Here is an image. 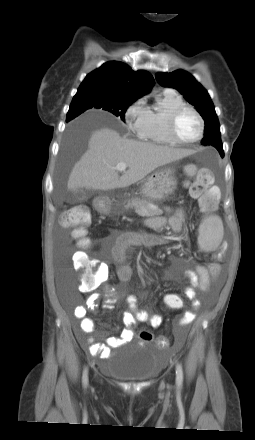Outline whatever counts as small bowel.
I'll list each match as a JSON object with an SVG mask.
<instances>
[{
    "instance_id": "c3829d8e",
    "label": "small bowel",
    "mask_w": 255,
    "mask_h": 440,
    "mask_svg": "<svg viewBox=\"0 0 255 440\" xmlns=\"http://www.w3.org/2000/svg\"><path fill=\"white\" fill-rule=\"evenodd\" d=\"M166 212L170 213L171 209L166 208ZM184 218V211L177 209L168 219L163 216L150 217L145 221V225L153 231H158L165 225H169L172 231L179 233L182 230ZM166 241L167 238L165 236L156 233L125 232L118 235L112 248V260L116 266L118 279L125 283L128 282L132 276L131 266L127 262V252L132 246H156ZM96 267V285H98L109 279V265L106 262H97ZM219 273L220 265L217 262H212L208 266L198 264L194 270L184 271V277L190 283L189 286L184 289V296L194 307L199 306V301L196 298V290L207 291L211 279L218 277ZM104 294L106 297V309H109L119 298L125 296L130 311L124 313L123 318L126 328L121 332L120 336L108 337L105 343H97L91 337L86 339L80 338L81 343L87 348L88 352L100 359L110 358L113 348L133 339V326L136 322L148 323L152 327H158L162 323V318L159 314L149 313L138 308V301L135 295L118 290L109 285L104 287ZM98 298V294H92L88 298L86 306L78 305L73 309V315L80 321V329L84 333H91L95 329V322L92 318L87 316V310H95L97 308ZM163 298L182 297L177 293H167ZM195 317L196 315L193 311H186L181 316L179 323L181 326H185L192 322ZM178 342H180V340Z\"/></svg>"
}]
</instances>
